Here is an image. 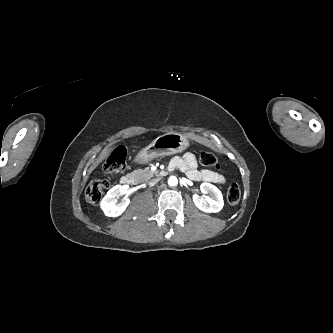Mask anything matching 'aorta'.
I'll return each instance as SVG.
<instances>
[{"mask_svg": "<svg viewBox=\"0 0 333 333\" xmlns=\"http://www.w3.org/2000/svg\"><path fill=\"white\" fill-rule=\"evenodd\" d=\"M168 184H169V186H172V187L177 186V184H178L177 177L170 176L169 179H168Z\"/></svg>", "mask_w": 333, "mask_h": 333, "instance_id": "1", "label": "aorta"}]
</instances>
